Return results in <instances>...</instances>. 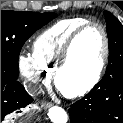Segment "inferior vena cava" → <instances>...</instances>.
<instances>
[{
	"instance_id": "inferior-vena-cava-1",
	"label": "inferior vena cava",
	"mask_w": 123,
	"mask_h": 123,
	"mask_svg": "<svg viewBox=\"0 0 123 123\" xmlns=\"http://www.w3.org/2000/svg\"><path fill=\"white\" fill-rule=\"evenodd\" d=\"M24 86H25L26 91L31 96H36L43 91L41 85L34 84L32 82H26Z\"/></svg>"
}]
</instances>
